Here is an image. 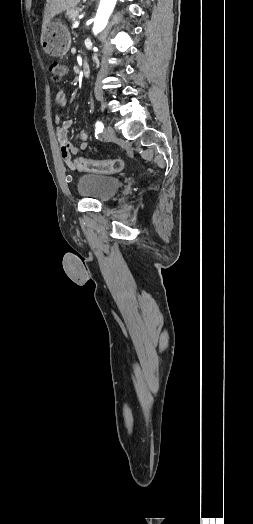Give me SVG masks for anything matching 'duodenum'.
Here are the masks:
<instances>
[{
  "label": "duodenum",
  "instance_id": "410a0bca",
  "mask_svg": "<svg viewBox=\"0 0 253 524\" xmlns=\"http://www.w3.org/2000/svg\"><path fill=\"white\" fill-rule=\"evenodd\" d=\"M82 72L85 76L90 75V64L88 62H84L82 64Z\"/></svg>",
  "mask_w": 253,
  "mask_h": 524
}]
</instances>
